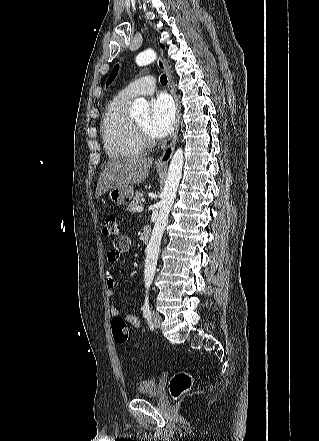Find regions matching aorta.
<instances>
[{
	"instance_id": "762f6f07",
	"label": "aorta",
	"mask_w": 319,
	"mask_h": 441,
	"mask_svg": "<svg viewBox=\"0 0 319 441\" xmlns=\"http://www.w3.org/2000/svg\"><path fill=\"white\" fill-rule=\"evenodd\" d=\"M156 59V54L152 50H146L136 57V64L138 66H145ZM130 115L134 118H149L150 111L147 101L143 98H137L134 100L131 108ZM184 162L183 150L178 148L170 162L169 171L165 186L162 192V198L159 203V215L155 222L151 238L146 250V261L144 270V282L148 287L152 284L155 276L158 254L160 249L161 239L164 230L168 224V217L176 197V192L181 179L182 167Z\"/></svg>"
}]
</instances>
